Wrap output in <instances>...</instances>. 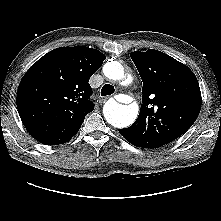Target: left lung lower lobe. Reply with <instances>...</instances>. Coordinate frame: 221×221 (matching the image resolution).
I'll list each match as a JSON object with an SVG mask.
<instances>
[{
  "label": "left lung lower lobe",
  "mask_w": 221,
  "mask_h": 221,
  "mask_svg": "<svg viewBox=\"0 0 221 221\" xmlns=\"http://www.w3.org/2000/svg\"><path fill=\"white\" fill-rule=\"evenodd\" d=\"M120 134L131 143L133 139V134L131 131H129L127 128L125 129H119Z\"/></svg>",
  "instance_id": "left-lung-lower-lobe-1"
}]
</instances>
